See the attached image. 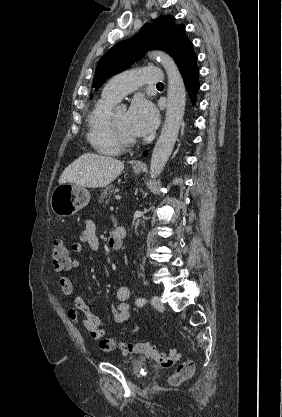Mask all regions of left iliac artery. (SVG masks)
Segmentation results:
<instances>
[{
  "instance_id": "obj_1",
  "label": "left iliac artery",
  "mask_w": 282,
  "mask_h": 417,
  "mask_svg": "<svg viewBox=\"0 0 282 417\" xmlns=\"http://www.w3.org/2000/svg\"><path fill=\"white\" fill-rule=\"evenodd\" d=\"M146 303V299H144V298H139V299H137L136 300V305L137 306H143L144 304Z\"/></svg>"
}]
</instances>
